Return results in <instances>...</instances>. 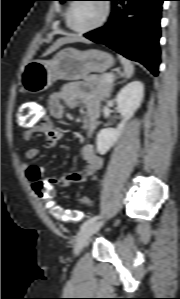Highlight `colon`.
I'll list each match as a JSON object with an SVG mask.
<instances>
[{
    "instance_id": "colon-1",
    "label": "colon",
    "mask_w": 180,
    "mask_h": 299,
    "mask_svg": "<svg viewBox=\"0 0 180 299\" xmlns=\"http://www.w3.org/2000/svg\"><path fill=\"white\" fill-rule=\"evenodd\" d=\"M99 1V0H96ZM46 116L44 108L39 104L24 106L19 114V123L23 127H31L39 124ZM33 190L36 196L43 202L51 206L53 214L62 221L76 222L82 219L83 213L80 210H65L53 206V186L51 183L35 182Z\"/></svg>"
}]
</instances>
